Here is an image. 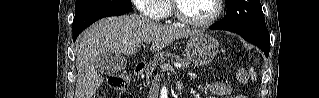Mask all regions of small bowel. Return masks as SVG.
Returning a JSON list of instances; mask_svg holds the SVG:
<instances>
[{
  "label": "small bowel",
  "mask_w": 319,
  "mask_h": 98,
  "mask_svg": "<svg viewBox=\"0 0 319 98\" xmlns=\"http://www.w3.org/2000/svg\"><path fill=\"white\" fill-rule=\"evenodd\" d=\"M182 88H183L182 83H178L177 89L180 91L182 90ZM209 90L211 93H213L217 97H225V96L231 95L235 91V88H233L231 85L226 84L224 82L214 81L210 83Z\"/></svg>",
  "instance_id": "obj_1"
}]
</instances>
